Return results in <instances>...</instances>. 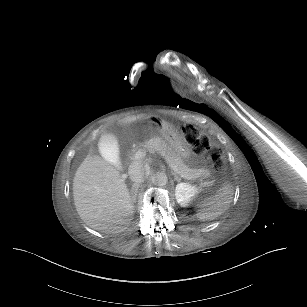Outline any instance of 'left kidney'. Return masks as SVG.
<instances>
[{
    "label": "left kidney",
    "instance_id": "left-kidney-1",
    "mask_svg": "<svg viewBox=\"0 0 307 307\" xmlns=\"http://www.w3.org/2000/svg\"><path fill=\"white\" fill-rule=\"evenodd\" d=\"M198 192L197 188L186 183H179L175 189V196L177 202L184 206L190 199Z\"/></svg>",
    "mask_w": 307,
    "mask_h": 307
}]
</instances>
